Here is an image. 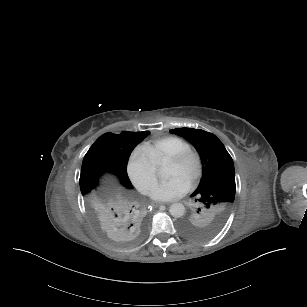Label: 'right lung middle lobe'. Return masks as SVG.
I'll return each instance as SVG.
<instances>
[{
  "mask_svg": "<svg viewBox=\"0 0 307 307\" xmlns=\"http://www.w3.org/2000/svg\"><path fill=\"white\" fill-rule=\"evenodd\" d=\"M108 171V163L95 153L88 151L83 159L80 175V189L82 195L96 187L101 175Z\"/></svg>",
  "mask_w": 307,
  "mask_h": 307,
  "instance_id": "dd1d6c3e",
  "label": "right lung middle lobe"
}]
</instances>
